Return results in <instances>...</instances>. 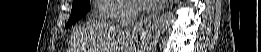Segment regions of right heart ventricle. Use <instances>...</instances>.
<instances>
[{"label": "right heart ventricle", "mask_w": 261, "mask_h": 52, "mask_svg": "<svg viewBox=\"0 0 261 52\" xmlns=\"http://www.w3.org/2000/svg\"><path fill=\"white\" fill-rule=\"evenodd\" d=\"M117 9V6L113 5V4H108V3H103L99 5L98 8V20L101 21H108L109 20V14L113 11Z\"/></svg>", "instance_id": "obj_1"}]
</instances>
